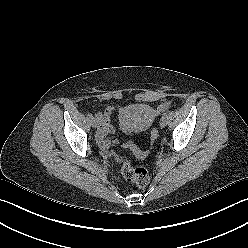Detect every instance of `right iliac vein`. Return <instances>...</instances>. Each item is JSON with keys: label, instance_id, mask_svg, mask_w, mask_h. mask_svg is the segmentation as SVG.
Listing matches in <instances>:
<instances>
[{"label": "right iliac vein", "instance_id": "right-iliac-vein-1", "mask_svg": "<svg viewBox=\"0 0 248 248\" xmlns=\"http://www.w3.org/2000/svg\"><path fill=\"white\" fill-rule=\"evenodd\" d=\"M91 125L93 128H97L98 126V121L95 119V118H92L91 119Z\"/></svg>", "mask_w": 248, "mask_h": 248}]
</instances>
